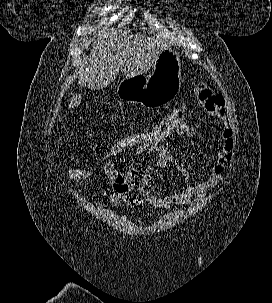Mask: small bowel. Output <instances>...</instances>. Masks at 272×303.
<instances>
[{"instance_id":"obj_1","label":"small bowel","mask_w":272,"mask_h":303,"mask_svg":"<svg viewBox=\"0 0 272 303\" xmlns=\"http://www.w3.org/2000/svg\"><path fill=\"white\" fill-rule=\"evenodd\" d=\"M194 93L199 105L203 108L205 113L216 118L220 122L216 160L210 168L206 178L197 184H188L184 192H169L164 194L159 190L153 194L147 195V202L161 209H168L173 204L184 205L189 203L192 199H195L196 201L202 200L209 189L217 186L222 181L225 166L232 157L233 132L224 98L221 95L214 93L205 85L196 86ZM195 133V129L190 125L177 135L192 137ZM135 152L138 155L146 153L154 155L157 159L156 164L158 168L166 169L173 166L180 172L185 181H189V172L176 163L172 152L167 145L162 144L152 148L137 149ZM104 175L111 181L115 194L120 195L128 194L142 188L147 177L151 180V176L148 172L137 168L131 169L125 173L116 169L115 171L105 173Z\"/></svg>"}]
</instances>
